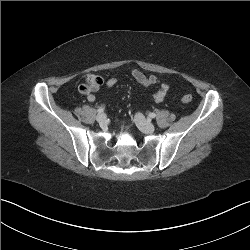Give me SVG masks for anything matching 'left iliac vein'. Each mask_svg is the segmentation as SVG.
I'll return each instance as SVG.
<instances>
[{
  "mask_svg": "<svg viewBox=\"0 0 250 250\" xmlns=\"http://www.w3.org/2000/svg\"><path fill=\"white\" fill-rule=\"evenodd\" d=\"M135 123L138 128L144 133H153L155 131V126L148 121L141 113H137L134 117Z\"/></svg>",
  "mask_w": 250,
  "mask_h": 250,
  "instance_id": "left-iliac-vein-1",
  "label": "left iliac vein"
}]
</instances>
